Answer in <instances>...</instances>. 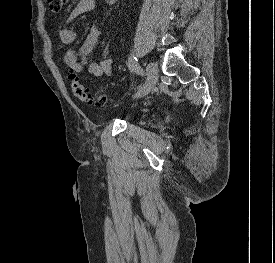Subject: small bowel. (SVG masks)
<instances>
[{
    "label": "small bowel",
    "mask_w": 275,
    "mask_h": 263,
    "mask_svg": "<svg viewBox=\"0 0 275 263\" xmlns=\"http://www.w3.org/2000/svg\"><path fill=\"white\" fill-rule=\"evenodd\" d=\"M94 5V0H79L77 2L67 17V25L59 31V37L62 43L72 44L76 41L77 34L73 28L68 26V24L80 17L82 14L92 10ZM99 36V27L97 25L91 26L79 49L77 51L69 49L65 52L63 57L64 63L77 73H81L86 69L93 77L111 75L113 65L111 57H104L99 61H92L89 59V55L94 49Z\"/></svg>",
    "instance_id": "c3829d8e"
}]
</instances>
